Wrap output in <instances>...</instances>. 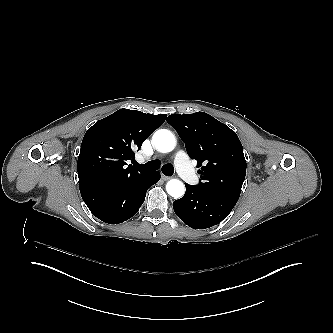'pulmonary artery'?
<instances>
[{
	"instance_id": "pulmonary-artery-1",
	"label": "pulmonary artery",
	"mask_w": 333,
	"mask_h": 333,
	"mask_svg": "<svg viewBox=\"0 0 333 333\" xmlns=\"http://www.w3.org/2000/svg\"><path fill=\"white\" fill-rule=\"evenodd\" d=\"M187 151L185 149H180L178 154L175 156V163L177 164L176 172L180 174L181 177L187 182H195L196 174L193 173V167L190 166V163L187 161Z\"/></svg>"
}]
</instances>
